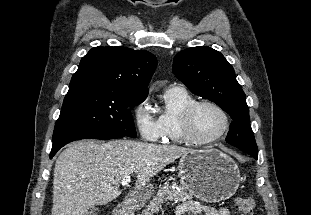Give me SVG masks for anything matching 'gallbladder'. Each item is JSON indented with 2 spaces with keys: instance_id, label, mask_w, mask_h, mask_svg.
Instances as JSON below:
<instances>
[{
  "instance_id": "1",
  "label": "gallbladder",
  "mask_w": 311,
  "mask_h": 215,
  "mask_svg": "<svg viewBox=\"0 0 311 215\" xmlns=\"http://www.w3.org/2000/svg\"><path fill=\"white\" fill-rule=\"evenodd\" d=\"M98 211V208L92 207L84 215H98Z\"/></svg>"
}]
</instances>
